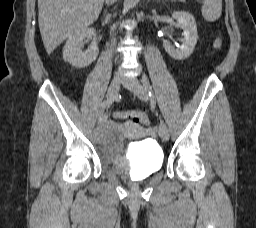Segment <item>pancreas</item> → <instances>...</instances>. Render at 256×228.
<instances>
[{"label":"pancreas","instance_id":"cf45deb5","mask_svg":"<svg viewBox=\"0 0 256 228\" xmlns=\"http://www.w3.org/2000/svg\"><path fill=\"white\" fill-rule=\"evenodd\" d=\"M171 2H176V1H179V2H185L186 0H170Z\"/></svg>","mask_w":256,"mask_h":228}]
</instances>
